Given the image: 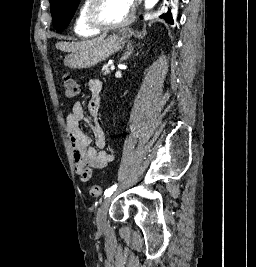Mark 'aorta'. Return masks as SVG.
<instances>
[{"label":"aorta","mask_w":256,"mask_h":267,"mask_svg":"<svg viewBox=\"0 0 256 267\" xmlns=\"http://www.w3.org/2000/svg\"><path fill=\"white\" fill-rule=\"evenodd\" d=\"M159 0H144V8L145 10H151V8H154L156 4H158Z\"/></svg>","instance_id":"obj_1"}]
</instances>
